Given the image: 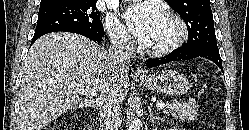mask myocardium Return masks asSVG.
Masks as SVG:
<instances>
[{"label":"myocardium","instance_id":"obj_1","mask_svg":"<svg viewBox=\"0 0 249 130\" xmlns=\"http://www.w3.org/2000/svg\"><path fill=\"white\" fill-rule=\"evenodd\" d=\"M164 17L175 24L177 33L170 42L162 46L149 47L146 49L148 54L154 57H162L174 52L179 47H181L188 38L187 25L179 15L172 12H167L165 13Z\"/></svg>","mask_w":249,"mask_h":130}]
</instances>
